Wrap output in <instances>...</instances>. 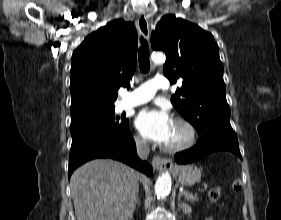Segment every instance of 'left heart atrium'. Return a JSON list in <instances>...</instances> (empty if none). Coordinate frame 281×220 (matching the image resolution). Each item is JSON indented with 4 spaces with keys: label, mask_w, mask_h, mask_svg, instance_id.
<instances>
[{
    "label": "left heart atrium",
    "mask_w": 281,
    "mask_h": 220,
    "mask_svg": "<svg viewBox=\"0 0 281 220\" xmlns=\"http://www.w3.org/2000/svg\"><path fill=\"white\" fill-rule=\"evenodd\" d=\"M173 120L166 110H143L135 120L140 133L148 140L165 144L169 138Z\"/></svg>",
    "instance_id": "39dd6f15"
}]
</instances>
